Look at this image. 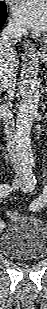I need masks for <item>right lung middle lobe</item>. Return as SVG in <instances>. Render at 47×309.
I'll return each instance as SVG.
<instances>
[{
	"mask_svg": "<svg viewBox=\"0 0 47 309\" xmlns=\"http://www.w3.org/2000/svg\"><path fill=\"white\" fill-rule=\"evenodd\" d=\"M5 8H6L5 3L4 2H0V11H2Z\"/></svg>",
	"mask_w": 47,
	"mask_h": 309,
	"instance_id": "dd1d6c3e",
	"label": "right lung middle lobe"
}]
</instances>
